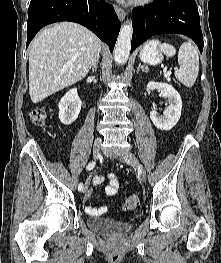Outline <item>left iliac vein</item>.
Wrapping results in <instances>:
<instances>
[{
  "label": "left iliac vein",
  "instance_id": "1",
  "mask_svg": "<svg viewBox=\"0 0 221 263\" xmlns=\"http://www.w3.org/2000/svg\"><path fill=\"white\" fill-rule=\"evenodd\" d=\"M119 159L124 163L130 164L133 166H137L140 172L141 181L143 183H146V180H147L146 171L132 153L124 152L119 156Z\"/></svg>",
  "mask_w": 221,
  "mask_h": 263
}]
</instances>
